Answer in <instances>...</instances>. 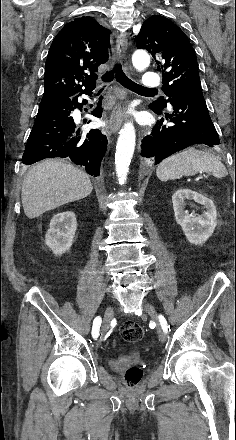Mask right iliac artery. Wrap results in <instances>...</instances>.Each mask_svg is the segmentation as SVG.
Segmentation results:
<instances>
[{"instance_id":"obj_1","label":"right iliac artery","mask_w":236,"mask_h":440,"mask_svg":"<svg viewBox=\"0 0 236 440\" xmlns=\"http://www.w3.org/2000/svg\"><path fill=\"white\" fill-rule=\"evenodd\" d=\"M100 325H101V318L98 316L93 321V327H92V336H93V338H97L98 337L99 330H100Z\"/></svg>"}]
</instances>
